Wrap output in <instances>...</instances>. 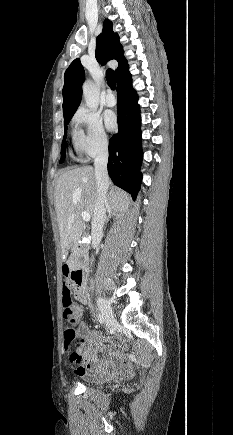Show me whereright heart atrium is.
<instances>
[{"mask_svg":"<svg viewBox=\"0 0 233 435\" xmlns=\"http://www.w3.org/2000/svg\"><path fill=\"white\" fill-rule=\"evenodd\" d=\"M73 122L83 128L77 144L81 153L87 157H94L107 150L109 138L100 117L95 112L81 108L76 112Z\"/></svg>","mask_w":233,"mask_h":435,"instance_id":"d8ad5b80","label":"right heart atrium"}]
</instances>
